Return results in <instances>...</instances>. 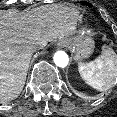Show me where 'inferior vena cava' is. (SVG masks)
Listing matches in <instances>:
<instances>
[{
  "instance_id": "inferior-vena-cava-1",
  "label": "inferior vena cava",
  "mask_w": 117,
  "mask_h": 117,
  "mask_svg": "<svg viewBox=\"0 0 117 117\" xmlns=\"http://www.w3.org/2000/svg\"><path fill=\"white\" fill-rule=\"evenodd\" d=\"M29 51L32 55H37L39 53V48L37 46H32Z\"/></svg>"
}]
</instances>
